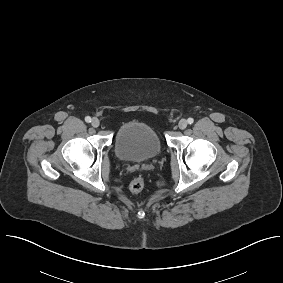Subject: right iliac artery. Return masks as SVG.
<instances>
[{"mask_svg": "<svg viewBox=\"0 0 283 283\" xmlns=\"http://www.w3.org/2000/svg\"><path fill=\"white\" fill-rule=\"evenodd\" d=\"M85 121L90 123L91 122V117H89V116L85 117Z\"/></svg>", "mask_w": 283, "mask_h": 283, "instance_id": "1", "label": "right iliac artery"}]
</instances>
